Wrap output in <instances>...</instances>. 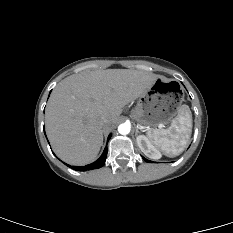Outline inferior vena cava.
<instances>
[{"mask_svg":"<svg viewBox=\"0 0 233 233\" xmlns=\"http://www.w3.org/2000/svg\"><path fill=\"white\" fill-rule=\"evenodd\" d=\"M108 124H109V121H108L106 118L102 117V118L100 119L99 125H100L101 128H102V127H103V128H104V127H107Z\"/></svg>","mask_w":233,"mask_h":233,"instance_id":"obj_1","label":"inferior vena cava"}]
</instances>
